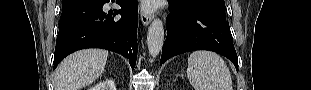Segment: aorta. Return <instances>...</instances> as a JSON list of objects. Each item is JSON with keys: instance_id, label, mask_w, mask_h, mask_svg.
Returning a JSON list of instances; mask_svg holds the SVG:
<instances>
[{"instance_id": "obj_1", "label": "aorta", "mask_w": 311, "mask_h": 90, "mask_svg": "<svg viewBox=\"0 0 311 90\" xmlns=\"http://www.w3.org/2000/svg\"><path fill=\"white\" fill-rule=\"evenodd\" d=\"M164 43V28L160 19H154L148 28L147 46L153 58L159 55Z\"/></svg>"}]
</instances>
